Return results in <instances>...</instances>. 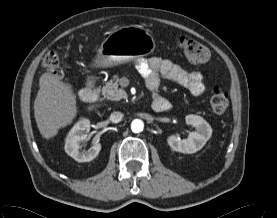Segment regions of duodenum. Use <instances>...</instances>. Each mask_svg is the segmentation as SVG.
<instances>
[{
	"label": "duodenum",
	"instance_id": "1",
	"mask_svg": "<svg viewBox=\"0 0 277 218\" xmlns=\"http://www.w3.org/2000/svg\"><path fill=\"white\" fill-rule=\"evenodd\" d=\"M99 93V89L94 78H89L87 80V85L79 92V98L86 103L95 100ZM170 108V103L166 99H161L159 104L160 111H167Z\"/></svg>",
	"mask_w": 277,
	"mask_h": 218
}]
</instances>
